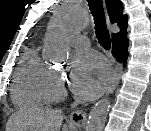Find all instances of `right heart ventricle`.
<instances>
[{
	"mask_svg": "<svg viewBox=\"0 0 151 131\" xmlns=\"http://www.w3.org/2000/svg\"><path fill=\"white\" fill-rule=\"evenodd\" d=\"M52 73L37 49L30 45L22 56L15 71L12 85V100L17 107H34L45 100L44 85Z\"/></svg>",
	"mask_w": 151,
	"mask_h": 131,
	"instance_id": "1",
	"label": "right heart ventricle"
}]
</instances>
